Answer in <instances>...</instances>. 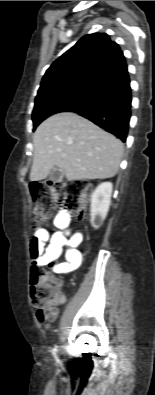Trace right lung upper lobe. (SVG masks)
I'll return each mask as SVG.
<instances>
[{
  "label": "right lung upper lobe",
  "instance_id": "right-lung-upper-lobe-1",
  "mask_svg": "<svg viewBox=\"0 0 155 395\" xmlns=\"http://www.w3.org/2000/svg\"><path fill=\"white\" fill-rule=\"evenodd\" d=\"M127 70L119 45L106 33L82 37L59 57L43 76L39 91L69 81L103 83L108 77Z\"/></svg>",
  "mask_w": 155,
  "mask_h": 395
}]
</instances>
